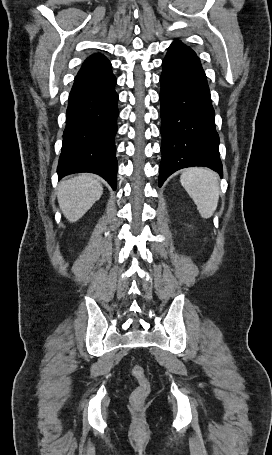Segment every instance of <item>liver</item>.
<instances>
[{
    "mask_svg": "<svg viewBox=\"0 0 272 455\" xmlns=\"http://www.w3.org/2000/svg\"><path fill=\"white\" fill-rule=\"evenodd\" d=\"M103 193L99 181L82 174L59 184L57 198L63 215L69 222L78 221L98 201Z\"/></svg>",
    "mask_w": 272,
    "mask_h": 455,
    "instance_id": "6515ba94",
    "label": "liver"
}]
</instances>
